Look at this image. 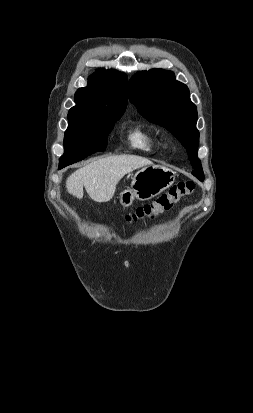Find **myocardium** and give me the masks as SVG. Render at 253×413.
Masks as SVG:
<instances>
[{
  "label": "myocardium",
  "instance_id": "f54148a6",
  "mask_svg": "<svg viewBox=\"0 0 253 413\" xmlns=\"http://www.w3.org/2000/svg\"><path fill=\"white\" fill-rule=\"evenodd\" d=\"M169 144H170V141H167V142L165 143L166 146H168Z\"/></svg>",
  "mask_w": 253,
  "mask_h": 413
}]
</instances>
